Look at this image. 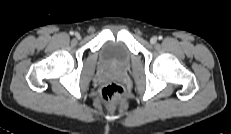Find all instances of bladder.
<instances>
[{"label": "bladder", "instance_id": "bladder-1", "mask_svg": "<svg viewBox=\"0 0 231 134\" xmlns=\"http://www.w3.org/2000/svg\"><path fill=\"white\" fill-rule=\"evenodd\" d=\"M131 52L121 41H108L100 51L102 63L108 67L125 68L129 65Z\"/></svg>", "mask_w": 231, "mask_h": 134}]
</instances>
